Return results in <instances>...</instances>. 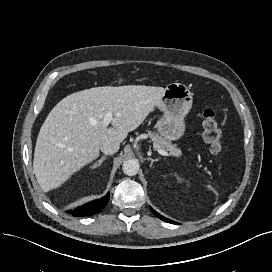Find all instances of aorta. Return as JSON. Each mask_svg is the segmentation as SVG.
<instances>
[{
    "instance_id": "762f6f07",
    "label": "aorta",
    "mask_w": 272,
    "mask_h": 272,
    "mask_svg": "<svg viewBox=\"0 0 272 272\" xmlns=\"http://www.w3.org/2000/svg\"><path fill=\"white\" fill-rule=\"evenodd\" d=\"M124 174L128 176H134L139 171V163L134 159L126 160L122 165Z\"/></svg>"
}]
</instances>
